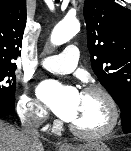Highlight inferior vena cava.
<instances>
[{
	"label": "inferior vena cava",
	"instance_id": "1",
	"mask_svg": "<svg viewBox=\"0 0 131 151\" xmlns=\"http://www.w3.org/2000/svg\"><path fill=\"white\" fill-rule=\"evenodd\" d=\"M41 124L40 120H35L33 118H30L24 125L22 132L24 135L34 141H37L39 138V132L38 128Z\"/></svg>",
	"mask_w": 131,
	"mask_h": 151
}]
</instances>
